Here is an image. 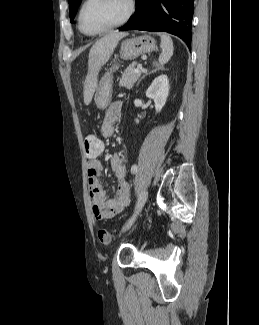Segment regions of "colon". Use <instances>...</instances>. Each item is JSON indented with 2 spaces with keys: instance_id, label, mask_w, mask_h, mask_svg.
Here are the masks:
<instances>
[{
  "instance_id": "1",
  "label": "colon",
  "mask_w": 259,
  "mask_h": 325,
  "mask_svg": "<svg viewBox=\"0 0 259 325\" xmlns=\"http://www.w3.org/2000/svg\"><path fill=\"white\" fill-rule=\"evenodd\" d=\"M84 147L86 153H94L96 150H103L104 145L102 143V138L88 135L85 137ZM97 238L102 245H109L111 243V235L106 229H99L97 231Z\"/></svg>"
}]
</instances>
